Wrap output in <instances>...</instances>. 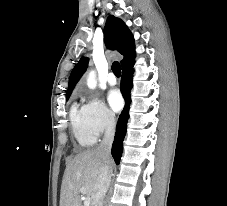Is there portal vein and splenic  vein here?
<instances>
[{"instance_id": "obj_1", "label": "portal vein and splenic vein", "mask_w": 227, "mask_h": 206, "mask_svg": "<svg viewBox=\"0 0 227 206\" xmlns=\"http://www.w3.org/2000/svg\"><path fill=\"white\" fill-rule=\"evenodd\" d=\"M80 191L84 193L85 192V188H81ZM90 203H91V199L89 197L85 198L84 206H90Z\"/></svg>"}]
</instances>
